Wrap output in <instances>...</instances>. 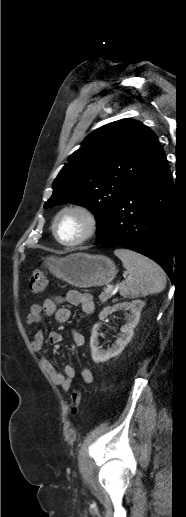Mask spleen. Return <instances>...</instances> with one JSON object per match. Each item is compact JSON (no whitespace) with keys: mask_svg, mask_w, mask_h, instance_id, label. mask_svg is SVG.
<instances>
[{"mask_svg":"<svg viewBox=\"0 0 186 517\" xmlns=\"http://www.w3.org/2000/svg\"><path fill=\"white\" fill-rule=\"evenodd\" d=\"M114 254L119 257L128 272V277L120 284V295L124 298H138L160 293L166 286V275L163 269L136 252L127 249H116Z\"/></svg>","mask_w":186,"mask_h":517,"instance_id":"obj_1","label":"spleen"}]
</instances>
